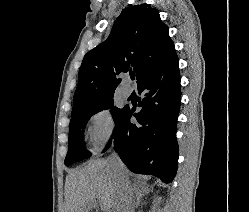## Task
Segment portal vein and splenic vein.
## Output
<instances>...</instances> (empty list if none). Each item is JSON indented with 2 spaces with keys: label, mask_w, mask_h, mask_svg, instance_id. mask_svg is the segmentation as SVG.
I'll use <instances>...</instances> for the list:
<instances>
[{
  "label": "portal vein and splenic vein",
  "mask_w": 249,
  "mask_h": 212,
  "mask_svg": "<svg viewBox=\"0 0 249 212\" xmlns=\"http://www.w3.org/2000/svg\"><path fill=\"white\" fill-rule=\"evenodd\" d=\"M92 206H97V202H92Z\"/></svg>",
  "instance_id": "1"
}]
</instances>
